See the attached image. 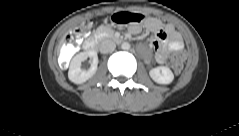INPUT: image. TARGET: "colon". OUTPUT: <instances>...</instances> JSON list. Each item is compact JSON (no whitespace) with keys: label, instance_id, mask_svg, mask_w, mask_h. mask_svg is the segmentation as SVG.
<instances>
[{"label":"colon","instance_id":"1","mask_svg":"<svg viewBox=\"0 0 239 136\" xmlns=\"http://www.w3.org/2000/svg\"><path fill=\"white\" fill-rule=\"evenodd\" d=\"M92 20H86L83 25L78 28L73 36H70L62 45L61 52L66 56H71L76 52L75 39L78 38L83 32L90 28ZM186 58L184 50L175 51L171 56V66L176 74H179L183 69V62Z\"/></svg>","mask_w":239,"mask_h":136}]
</instances>
